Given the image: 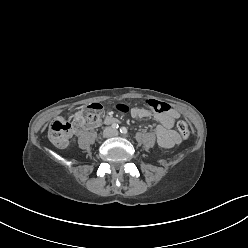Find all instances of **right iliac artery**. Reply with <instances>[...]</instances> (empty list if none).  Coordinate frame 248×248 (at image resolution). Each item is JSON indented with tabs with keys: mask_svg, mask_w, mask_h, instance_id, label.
Returning a JSON list of instances; mask_svg holds the SVG:
<instances>
[{
	"mask_svg": "<svg viewBox=\"0 0 248 248\" xmlns=\"http://www.w3.org/2000/svg\"><path fill=\"white\" fill-rule=\"evenodd\" d=\"M118 127H119L118 124H116V123L112 124V128H113V129H117Z\"/></svg>",
	"mask_w": 248,
	"mask_h": 248,
	"instance_id": "right-iliac-artery-1",
	"label": "right iliac artery"
}]
</instances>
